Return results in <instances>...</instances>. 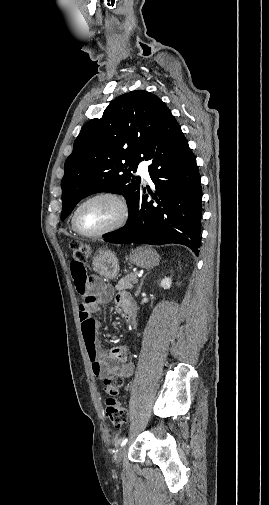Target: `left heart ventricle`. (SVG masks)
Listing matches in <instances>:
<instances>
[{
  "label": "left heart ventricle",
  "instance_id": "obj_1",
  "mask_svg": "<svg viewBox=\"0 0 269 505\" xmlns=\"http://www.w3.org/2000/svg\"><path fill=\"white\" fill-rule=\"evenodd\" d=\"M119 205L108 198H100L85 204L78 213L79 227L86 232L101 231L117 221Z\"/></svg>",
  "mask_w": 269,
  "mask_h": 505
}]
</instances>
